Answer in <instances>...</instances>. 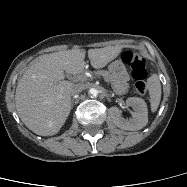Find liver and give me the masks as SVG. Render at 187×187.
Masks as SVG:
<instances>
[{"instance_id": "liver-1", "label": "liver", "mask_w": 187, "mask_h": 187, "mask_svg": "<svg viewBox=\"0 0 187 187\" xmlns=\"http://www.w3.org/2000/svg\"><path fill=\"white\" fill-rule=\"evenodd\" d=\"M122 46L89 49L95 69L105 67L121 52ZM84 49H72L38 57L23 72L15 94L17 113L27 128L41 136L57 134L71 111V89L64 80L68 74L82 73L86 63Z\"/></svg>"}]
</instances>
